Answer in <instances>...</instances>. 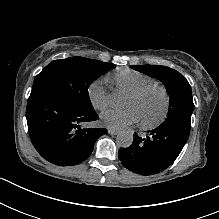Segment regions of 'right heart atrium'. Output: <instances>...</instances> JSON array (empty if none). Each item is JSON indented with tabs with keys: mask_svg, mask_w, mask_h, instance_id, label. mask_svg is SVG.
Returning a JSON list of instances; mask_svg holds the SVG:
<instances>
[{
	"mask_svg": "<svg viewBox=\"0 0 219 219\" xmlns=\"http://www.w3.org/2000/svg\"><path fill=\"white\" fill-rule=\"evenodd\" d=\"M86 93L89 102L95 109L103 110L109 105L110 98L105 80L92 81L88 85Z\"/></svg>",
	"mask_w": 219,
	"mask_h": 219,
	"instance_id": "right-heart-atrium-1",
	"label": "right heart atrium"
}]
</instances>
